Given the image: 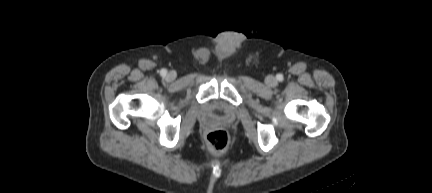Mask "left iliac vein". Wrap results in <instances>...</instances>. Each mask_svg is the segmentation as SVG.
Listing matches in <instances>:
<instances>
[{
    "label": "left iliac vein",
    "instance_id": "obj_1",
    "mask_svg": "<svg viewBox=\"0 0 432 193\" xmlns=\"http://www.w3.org/2000/svg\"><path fill=\"white\" fill-rule=\"evenodd\" d=\"M266 83H267L268 85H270V86L275 85V84H276V79H275V77H273V76H268V77L266 78Z\"/></svg>",
    "mask_w": 432,
    "mask_h": 193
}]
</instances>
